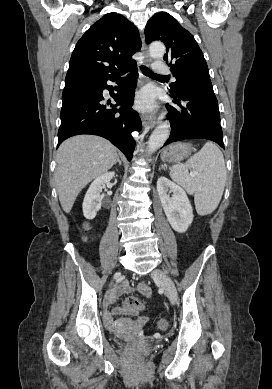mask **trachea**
<instances>
[{
  "label": "trachea",
  "mask_w": 272,
  "mask_h": 389,
  "mask_svg": "<svg viewBox=\"0 0 272 389\" xmlns=\"http://www.w3.org/2000/svg\"><path fill=\"white\" fill-rule=\"evenodd\" d=\"M141 71L143 72L144 75L148 77H160V78H166L165 76L157 75L154 72H152L149 68L146 66H141Z\"/></svg>",
  "instance_id": "3493384b"
}]
</instances>
